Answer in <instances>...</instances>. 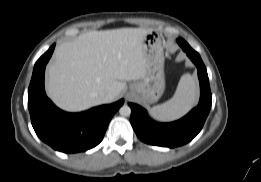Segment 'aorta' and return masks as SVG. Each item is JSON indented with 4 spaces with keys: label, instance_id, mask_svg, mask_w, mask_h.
<instances>
[{
    "label": "aorta",
    "instance_id": "1",
    "mask_svg": "<svg viewBox=\"0 0 261 182\" xmlns=\"http://www.w3.org/2000/svg\"><path fill=\"white\" fill-rule=\"evenodd\" d=\"M119 113L121 116H130L131 114V108L128 105H123L120 109H119Z\"/></svg>",
    "mask_w": 261,
    "mask_h": 182
}]
</instances>
